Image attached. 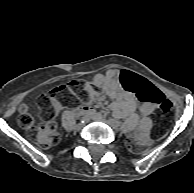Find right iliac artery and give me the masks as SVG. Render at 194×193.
I'll return each instance as SVG.
<instances>
[{"label":"right iliac artery","mask_w":194,"mask_h":193,"mask_svg":"<svg viewBox=\"0 0 194 193\" xmlns=\"http://www.w3.org/2000/svg\"><path fill=\"white\" fill-rule=\"evenodd\" d=\"M85 120H84V118L81 120V122H84Z\"/></svg>","instance_id":"82829eb1"}]
</instances>
